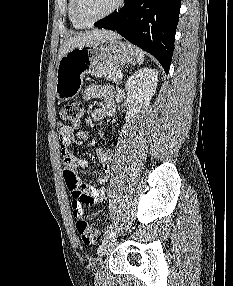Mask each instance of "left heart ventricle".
Returning a JSON list of instances; mask_svg holds the SVG:
<instances>
[{"mask_svg": "<svg viewBox=\"0 0 233 286\" xmlns=\"http://www.w3.org/2000/svg\"><path fill=\"white\" fill-rule=\"evenodd\" d=\"M117 0H80L79 11L84 20H92L107 12Z\"/></svg>", "mask_w": 233, "mask_h": 286, "instance_id": "obj_1", "label": "left heart ventricle"}]
</instances>
